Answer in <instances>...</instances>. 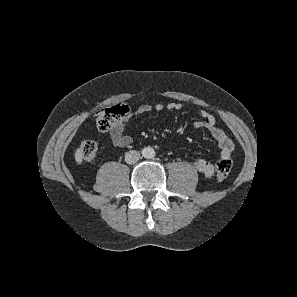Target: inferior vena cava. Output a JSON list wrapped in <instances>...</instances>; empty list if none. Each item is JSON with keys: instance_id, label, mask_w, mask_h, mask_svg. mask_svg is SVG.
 <instances>
[{"instance_id": "1", "label": "inferior vena cava", "mask_w": 297, "mask_h": 297, "mask_svg": "<svg viewBox=\"0 0 297 297\" xmlns=\"http://www.w3.org/2000/svg\"><path fill=\"white\" fill-rule=\"evenodd\" d=\"M140 159V153L136 150H130L125 154V161L128 164H134Z\"/></svg>"}]
</instances>
